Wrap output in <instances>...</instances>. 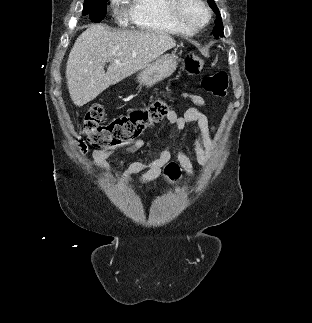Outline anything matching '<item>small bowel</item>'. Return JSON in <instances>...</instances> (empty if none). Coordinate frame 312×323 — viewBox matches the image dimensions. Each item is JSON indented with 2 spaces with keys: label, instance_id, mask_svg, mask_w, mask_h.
<instances>
[{
  "label": "small bowel",
  "instance_id": "obj_1",
  "mask_svg": "<svg viewBox=\"0 0 312 323\" xmlns=\"http://www.w3.org/2000/svg\"><path fill=\"white\" fill-rule=\"evenodd\" d=\"M178 98L189 101L195 107L187 109L183 114H178L176 111L169 109L166 120L178 131H183L186 127H190L197 164L200 167H205L215 152L214 126L210 118L201 110V108L206 107V101L201 95L190 91L180 92ZM144 145V140L136 139L131 141L121 152L124 154H133L139 151ZM114 153L116 151L112 148L95 150L93 152L95 164L101 169H106V160ZM175 156L177 163L183 167L185 174L193 176L195 174V166L189 156L181 149H177ZM171 157V151L164 149L150 161H136L131 163L123 172L124 182H128L134 174L142 173L140 183L151 182L156 185L164 169V165L171 164Z\"/></svg>",
  "mask_w": 312,
  "mask_h": 323
}]
</instances>
